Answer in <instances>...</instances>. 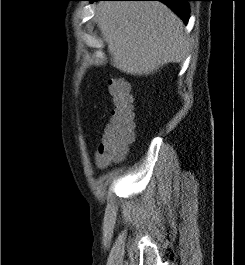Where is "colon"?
Here are the masks:
<instances>
[{
	"instance_id": "obj_1",
	"label": "colon",
	"mask_w": 245,
	"mask_h": 265,
	"mask_svg": "<svg viewBox=\"0 0 245 265\" xmlns=\"http://www.w3.org/2000/svg\"><path fill=\"white\" fill-rule=\"evenodd\" d=\"M108 91L113 108L96 152L97 159L106 165L122 160L134 140L133 97L129 85L122 78L112 77Z\"/></svg>"
}]
</instances>
